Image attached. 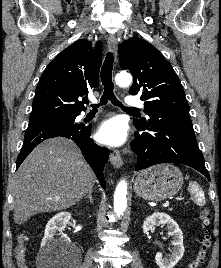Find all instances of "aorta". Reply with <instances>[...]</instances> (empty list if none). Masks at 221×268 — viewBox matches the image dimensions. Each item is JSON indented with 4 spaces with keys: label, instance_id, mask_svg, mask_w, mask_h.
<instances>
[{
    "label": "aorta",
    "instance_id": "762f6f07",
    "mask_svg": "<svg viewBox=\"0 0 221 268\" xmlns=\"http://www.w3.org/2000/svg\"><path fill=\"white\" fill-rule=\"evenodd\" d=\"M117 85L127 87L132 83V76L129 73L121 72L115 77ZM127 182L121 180L114 193V210L117 216L123 215L127 208Z\"/></svg>",
    "mask_w": 221,
    "mask_h": 268
}]
</instances>
